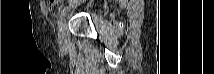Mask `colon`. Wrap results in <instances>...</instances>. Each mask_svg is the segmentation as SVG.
<instances>
[{"mask_svg":"<svg viewBox=\"0 0 214 74\" xmlns=\"http://www.w3.org/2000/svg\"><path fill=\"white\" fill-rule=\"evenodd\" d=\"M59 2H62V0H48V4L51 6Z\"/></svg>","mask_w":214,"mask_h":74,"instance_id":"obj_1","label":"colon"}]
</instances>
